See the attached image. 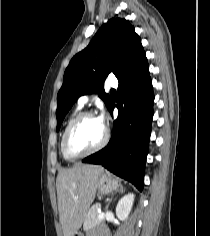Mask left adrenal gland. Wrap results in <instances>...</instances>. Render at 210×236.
Instances as JSON below:
<instances>
[{"label":"left adrenal gland","mask_w":210,"mask_h":236,"mask_svg":"<svg viewBox=\"0 0 210 236\" xmlns=\"http://www.w3.org/2000/svg\"><path fill=\"white\" fill-rule=\"evenodd\" d=\"M124 191H125V188L123 186H121L120 189L117 190V192H119V193H123ZM111 201H112V199L109 201V203L107 204L106 208L109 207Z\"/></svg>","instance_id":"left-adrenal-gland-1"}]
</instances>
